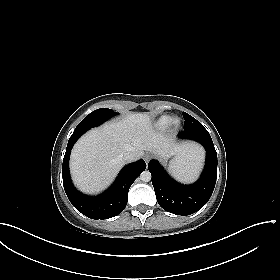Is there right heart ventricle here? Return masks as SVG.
I'll use <instances>...</instances> for the list:
<instances>
[{"mask_svg": "<svg viewBox=\"0 0 280 280\" xmlns=\"http://www.w3.org/2000/svg\"><path fill=\"white\" fill-rule=\"evenodd\" d=\"M170 120H171V117L168 116V115L160 116L155 121V124H154L155 128L160 130V131L164 130L168 126Z\"/></svg>", "mask_w": 280, "mask_h": 280, "instance_id": "obj_1", "label": "right heart ventricle"}]
</instances>
